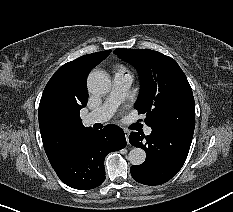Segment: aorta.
Listing matches in <instances>:
<instances>
[{
  "instance_id": "1",
  "label": "aorta",
  "mask_w": 233,
  "mask_h": 212,
  "mask_svg": "<svg viewBox=\"0 0 233 212\" xmlns=\"http://www.w3.org/2000/svg\"><path fill=\"white\" fill-rule=\"evenodd\" d=\"M88 90L92 94L102 95L109 92L111 80L106 72L93 71L87 79ZM146 159V153L143 149L134 147L128 154V160L132 165H141Z\"/></svg>"
}]
</instances>
